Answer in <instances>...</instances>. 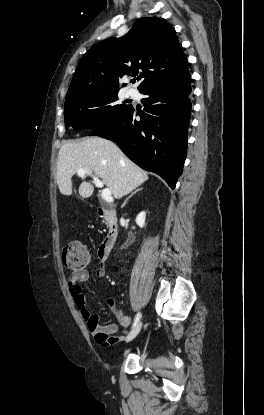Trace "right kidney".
I'll return each instance as SVG.
<instances>
[{
  "mask_svg": "<svg viewBox=\"0 0 264 415\" xmlns=\"http://www.w3.org/2000/svg\"><path fill=\"white\" fill-rule=\"evenodd\" d=\"M145 218H146V213L145 212H141L137 215L136 217V224L140 227L143 228L145 225Z\"/></svg>",
  "mask_w": 264,
  "mask_h": 415,
  "instance_id": "1",
  "label": "right kidney"
}]
</instances>
